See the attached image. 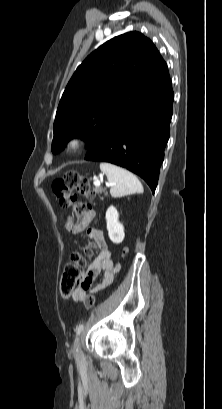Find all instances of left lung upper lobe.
<instances>
[{
    "label": "left lung upper lobe",
    "mask_w": 222,
    "mask_h": 409,
    "mask_svg": "<svg viewBox=\"0 0 222 409\" xmlns=\"http://www.w3.org/2000/svg\"><path fill=\"white\" fill-rule=\"evenodd\" d=\"M169 76L150 39L139 32L114 37L92 52L73 74L54 121L52 152L73 137L92 145L120 110Z\"/></svg>",
    "instance_id": "left-lung-upper-lobe-1"
}]
</instances>
